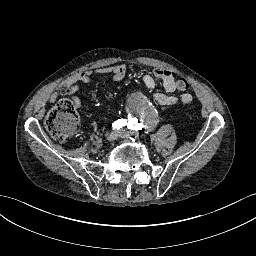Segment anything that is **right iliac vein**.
Returning <instances> with one entry per match:
<instances>
[{
	"mask_svg": "<svg viewBox=\"0 0 256 256\" xmlns=\"http://www.w3.org/2000/svg\"><path fill=\"white\" fill-rule=\"evenodd\" d=\"M117 137H118V134H117L115 131H113V132H111V133L107 136L106 140H107L108 142H114V141L117 139Z\"/></svg>",
	"mask_w": 256,
	"mask_h": 256,
	"instance_id": "1",
	"label": "right iliac vein"
}]
</instances>
